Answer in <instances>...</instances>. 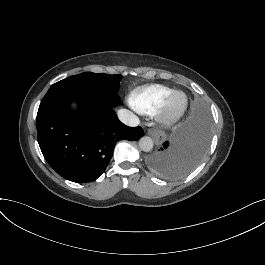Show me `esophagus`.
Segmentation results:
<instances>
[{
  "label": "esophagus",
  "mask_w": 265,
  "mask_h": 265,
  "mask_svg": "<svg viewBox=\"0 0 265 265\" xmlns=\"http://www.w3.org/2000/svg\"><path fill=\"white\" fill-rule=\"evenodd\" d=\"M148 135H150L151 137H153V139L155 140L156 144H160L163 142V140L165 139L166 135L163 131L161 130H148L147 132Z\"/></svg>",
  "instance_id": "esophagus-1"
}]
</instances>
